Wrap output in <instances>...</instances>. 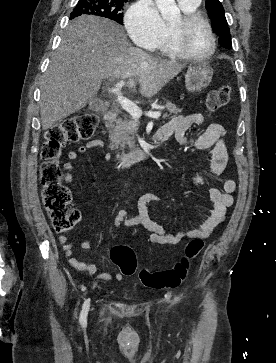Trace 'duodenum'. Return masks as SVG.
<instances>
[{
    "label": "duodenum",
    "instance_id": "duodenum-1",
    "mask_svg": "<svg viewBox=\"0 0 276 363\" xmlns=\"http://www.w3.org/2000/svg\"><path fill=\"white\" fill-rule=\"evenodd\" d=\"M118 115V112L116 109H108L104 114V119L106 121H113ZM165 140V136L161 133H156L154 135L153 141L154 142H160ZM151 153V147L148 146L143 149H137L129 152H117L115 153V160L123 165V166H131L136 162H139L141 160H144L149 157Z\"/></svg>",
    "mask_w": 276,
    "mask_h": 363
}]
</instances>
